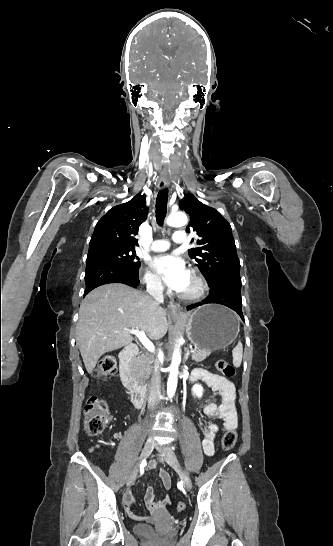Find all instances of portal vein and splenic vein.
Returning <instances> with one entry per match:
<instances>
[{"label":"portal vein and splenic vein","instance_id":"1","mask_svg":"<svg viewBox=\"0 0 333 546\" xmlns=\"http://www.w3.org/2000/svg\"><path fill=\"white\" fill-rule=\"evenodd\" d=\"M127 333L136 335V337L139 339V341L142 343V345H143L150 353H154V352H155V347H154V345H153V344L151 343V341L146 337L144 331H136V330H130V329H128V330H127ZM194 352H195V349H191V353H194Z\"/></svg>","mask_w":333,"mask_h":546}]
</instances>
